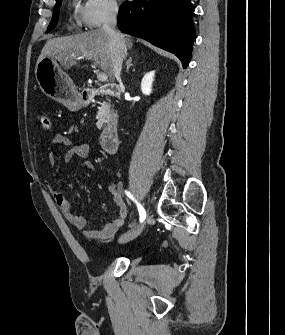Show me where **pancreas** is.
<instances>
[{"mask_svg": "<svg viewBox=\"0 0 285 335\" xmlns=\"http://www.w3.org/2000/svg\"><path fill=\"white\" fill-rule=\"evenodd\" d=\"M111 116H113V110H110L109 106H106L105 104L99 105L95 123H98L99 125H104L105 120H109Z\"/></svg>", "mask_w": 285, "mask_h": 335, "instance_id": "1", "label": "pancreas"}]
</instances>
